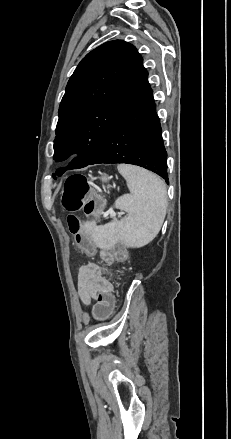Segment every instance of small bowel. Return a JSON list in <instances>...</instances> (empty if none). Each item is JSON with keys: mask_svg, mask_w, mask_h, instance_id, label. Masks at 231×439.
I'll list each match as a JSON object with an SVG mask.
<instances>
[{"mask_svg": "<svg viewBox=\"0 0 231 439\" xmlns=\"http://www.w3.org/2000/svg\"><path fill=\"white\" fill-rule=\"evenodd\" d=\"M100 256L108 264H112L115 261L114 253L109 250L101 249ZM104 288L113 291L112 283L103 276L98 264L90 262L80 267L78 273V293L85 305H90L93 301L96 302V294L101 293V290Z\"/></svg>", "mask_w": 231, "mask_h": 439, "instance_id": "c3829d8e", "label": "small bowel"}]
</instances>
